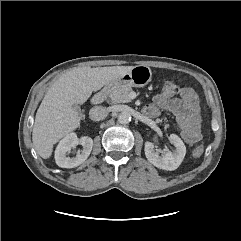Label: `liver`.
Instances as JSON below:
<instances>
[{
  "label": "liver",
  "mask_w": 241,
  "mask_h": 241,
  "mask_svg": "<svg viewBox=\"0 0 241 241\" xmlns=\"http://www.w3.org/2000/svg\"><path fill=\"white\" fill-rule=\"evenodd\" d=\"M132 68L78 67L61 75L44 96L36 113L32 141L37 153L43 159H48L54 144L80 125V117L73 106L84 104L92 92L100 90Z\"/></svg>",
  "instance_id": "liver-1"
}]
</instances>
